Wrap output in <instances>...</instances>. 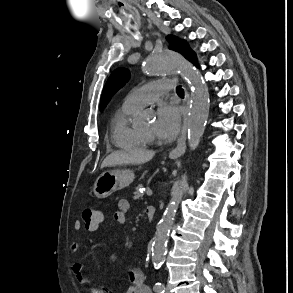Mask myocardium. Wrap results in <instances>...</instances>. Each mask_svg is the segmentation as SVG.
I'll list each match as a JSON object with an SVG mask.
<instances>
[{"label":"myocardium","mask_w":293,"mask_h":293,"mask_svg":"<svg viewBox=\"0 0 293 293\" xmlns=\"http://www.w3.org/2000/svg\"><path fill=\"white\" fill-rule=\"evenodd\" d=\"M143 135L149 140V141H152L153 140V136L150 135V134H146V133H143Z\"/></svg>","instance_id":"f54148a6"}]
</instances>
